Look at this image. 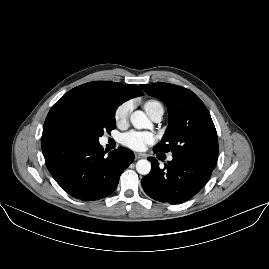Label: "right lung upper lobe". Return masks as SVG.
I'll return each instance as SVG.
<instances>
[{
    "label": "right lung upper lobe",
    "instance_id": "obj_1",
    "mask_svg": "<svg viewBox=\"0 0 269 269\" xmlns=\"http://www.w3.org/2000/svg\"><path fill=\"white\" fill-rule=\"evenodd\" d=\"M143 92L136 85L116 82L93 81L77 86L63 95L51 109L64 103H78L83 105L106 104L118 107L123 102L142 96ZM45 120L43 133L49 131Z\"/></svg>",
    "mask_w": 269,
    "mask_h": 269
}]
</instances>
